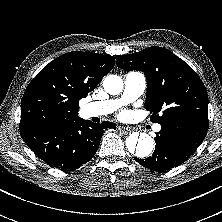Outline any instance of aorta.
I'll list each match as a JSON object with an SVG mask.
<instances>
[{
	"instance_id": "1",
	"label": "aorta",
	"mask_w": 222,
	"mask_h": 222,
	"mask_svg": "<svg viewBox=\"0 0 222 222\" xmlns=\"http://www.w3.org/2000/svg\"><path fill=\"white\" fill-rule=\"evenodd\" d=\"M104 90L111 94L117 95L123 90V80L117 75H108L103 81ZM126 149L130 155L137 158L148 157L154 147L152 137L147 133H132L126 138Z\"/></svg>"
}]
</instances>
